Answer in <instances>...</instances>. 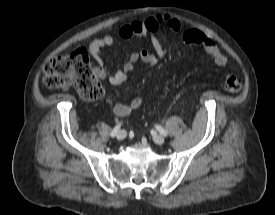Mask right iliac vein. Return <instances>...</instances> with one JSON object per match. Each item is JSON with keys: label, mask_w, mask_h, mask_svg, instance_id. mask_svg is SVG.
Here are the masks:
<instances>
[{"label": "right iliac vein", "mask_w": 275, "mask_h": 215, "mask_svg": "<svg viewBox=\"0 0 275 215\" xmlns=\"http://www.w3.org/2000/svg\"><path fill=\"white\" fill-rule=\"evenodd\" d=\"M127 136V132L125 130H120L117 134V139L118 140H123Z\"/></svg>", "instance_id": "obj_1"}]
</instances>
